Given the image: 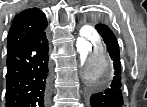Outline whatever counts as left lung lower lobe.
<instances>
[{
	"label": "left lung lower lobe",
	"instance_id": "left-lung-lower-lobe-1",
	"mask_svg": "<svg viewBox=\"0 0 147 107\" xmlns=\"http://www.w3.org/2000/svg\"><path fill=\"white\" fill-rule=\"evenodd\" d=\"M96 29L106 45L114 67V73L107 84L89 86L87 90L88 105L89 107H123L120 52L117 39L105 24L98 25Z\"/></svg>",
	"mask_w": 147,
	"mask_h": 107
}]
</instances>
